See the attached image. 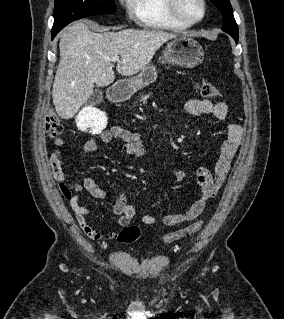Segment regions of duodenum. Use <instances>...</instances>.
<instances>
[{
  "label": "duodenum",
  "instance_id": "obj_1",
  "mask_svg": "<svg viewBox=\"0 0 284 319\" xmlns=\"http://www.w3.org/2000/svg\"><path fill=\"white\" fill-rule=\"evenodd\" d=\"M129 95V91L123 86H114L109 90V98L113 103L123 102Z\"/></svg>",
  "mask_w": 284,
  "mask_h": 319
}]
</instances>
